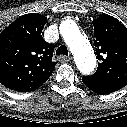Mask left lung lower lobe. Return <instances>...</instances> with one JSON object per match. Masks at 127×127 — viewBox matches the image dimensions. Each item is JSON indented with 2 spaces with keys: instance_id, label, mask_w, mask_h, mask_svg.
Listing matches in <instances>:
<instances>
[{
  "instance_id": "left-lung-lower-lobe-1",
  "label": "left lung lower lobe",
  "mask_w": 127,
  "mask_h": 127,
  "mask_svg": "<svg viewBox=\"0 0 127 127\" xmlns=\"http://www.w3.org/2000/svg\"><path fill=\"white\" fill-rule=\"evenodd\" d=\"M82 82L93 92L97 94H110L112 92L118 91L121 89L120 86L116 85L107 80L93 78L85 76L82 78Z\"/></svg>"
}]
</instances>
